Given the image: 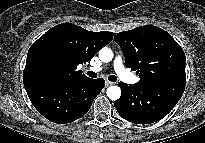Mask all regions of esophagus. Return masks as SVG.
<instances>
[{
	"mask_svg": "<svg viewBox=\"0 0 205 143\" xmlns=\"http://www.w3.org/2000/svg\"><path fill=\"white\" fill-rule=\"evenodd\" d=\"M105 84H106V86H111L113 84V82L106 80Z\"/></svg>",
	"mask_w": 205,
	"mask_h": 143,
	"instance_id": "esophagus-1",
	"label": "esophagus"
}]
</instances>
